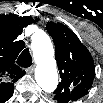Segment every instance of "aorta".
<instances>
[{"instance_id": "obj_1", "label": "aorta", "mask_w": 103, "mask_h": 103, "mask_svg": "<svg viewBox=\"0 0 103 103\" xmlns=\"http://www.w3.org/2000/svg\"><path fill=\"white\" fill-rule=\"evenodd\" d=\"M31 48L36 63L35 80L45 92H53L58 85L57 64L49 36L38 30L32 37Z\"/></svg>"}]
</instances>
